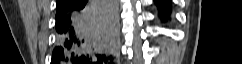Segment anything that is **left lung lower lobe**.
Segmentation results:
<instances>
[{"instance_id": "obj_1", "label": "left lung lower lobe", "mask_w": 242, "mask_h": 64, "mask_svg": "<svg viewBox=\"0 0 242 64\" xmlns=\"http://www.w3.org/2000/svg\"><path fill=\"white\" fill-rule=\"evenodd\" d=\"M158 16L162 22L170 21L172 6L170 0H155Z\"/></svg>"}]
</instances>
